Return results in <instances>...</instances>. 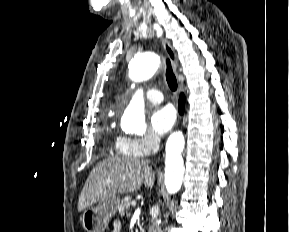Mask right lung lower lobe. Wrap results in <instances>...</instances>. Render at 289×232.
Returning <instances> with one entry per match:
<instances>
[{
  "label": "right lung lower lobe",
  "instance_id": "1",
  "mask_svg": "<svg viewBox=\"0 0 289 232\" xmlns=\"http://www.w3.org/2000/svg\"><path fill=\"white\" fill-rule=\"evenodd\" d=\"M179 111H180V113H183V111H184V96H183V94H181V96L179 98Z\"/></svg>",
  "mask_w": 289,
  "mask_h": 232
}]
</instances>
